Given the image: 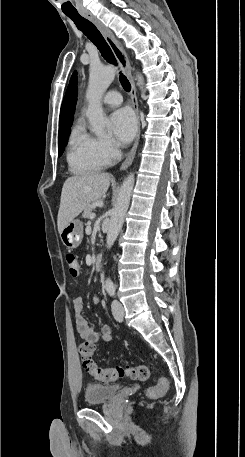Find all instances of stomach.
Listing matches in <instances>:
<instances>
[{"instance_id":"stomach-1","label":"stomach","mask_w":245,"mask_h":457,"mask_svg":"<svg viewBox=\"0 0 245 457\" xmlns=\"http://www.w3.org/2000/svg\"><path fill=\"white\" fill-rule=\"evenodd\" d=\"M60 239L68 251L77 249L83 239V222L79 218H74L66 224L65 229L60 233Z\"/></svg>"}]
</instances>
